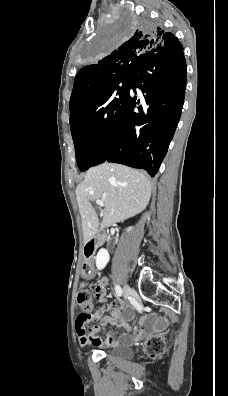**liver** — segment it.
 <instances>
[{
  "label": "liver",
  "instance_id": "obj_1",
  "mask_svg": "<svg viewBox=\"0 0 228 396\" xmlns=\"http://www.w3.org/2000/svg\"><path fill=\"white\" fill-rule=\"evenodd\" d=\"M150 197V181L135 169L107 162L90 168L76 187L84 243L97 234L99 225L102 230L142 212ZM94 200L104 203L101 223L91 204Z\"/></svg>",
  "mask_w": 228,
  "mask_h": 396
}]
</instances>
